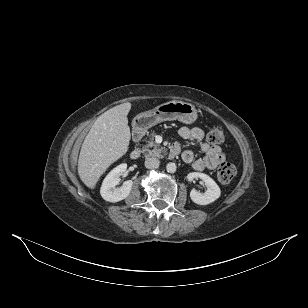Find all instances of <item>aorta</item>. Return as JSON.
Returning <instances> with one entry per match:
<instances>
[{
  "label": "aorta",
  "instance_id": "aorta-1",
  "mask_svg": "<svg viewBox=\"0 0 308 308\" xmlns=\"http://www.w3.org/2000/svg\"><path fill=\"white\" fill-rule=\"evenodd\" d=\"M176 168H177V166H176V164L173 163V162H170V163H168V164L166 165V170H167V172H169V173H174V172L176 171Z\"/></svg>",
  "mask_w": 308,
  "mask_h": 308
}]
</instances>
